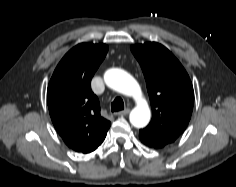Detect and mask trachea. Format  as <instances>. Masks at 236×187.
I'll list each match as a JSON object with an SVG mask.
<instances>
[{
    "instance_id": "1",
    "label": "trachea",
    "mask_w": 236,
    "mask_h": 187,
    "mask_svg": "<svg viewBox=\"0 0 236 187\" xmlns=\"http://www.w3.org/2000/svg\"><path fill=\"white\" fill-rule=\"evenodd\" d=\"M124 109V102L121 97H116L111 103V111L116 112Z\"/></svg>"
}]
</instances>
